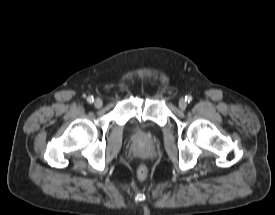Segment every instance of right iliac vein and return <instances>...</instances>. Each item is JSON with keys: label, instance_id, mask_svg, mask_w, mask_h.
<instances>
[{"label": "right iliac vein", "instance_id": "63e3f726", "mask_svg": "<svg viewBox=\"0 0 275 215\" xmlns=\"http://www.w3.org/2000/svg\"><path fill=\"white\" fill-rule=\"evenodd\" d=\"M103 105V101L100 99V98H97L95 101H94V106L96 108H101Z\"/></svg>", "mask_w": 275, "mask_h": 215}]
</instances>
